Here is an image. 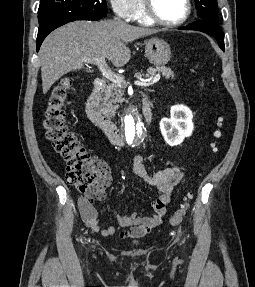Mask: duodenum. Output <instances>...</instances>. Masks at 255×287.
Wrapping results in <instances>:
<instances>
[{
	"mask_svg": "<svg viewBox=\"0 0 255 287\" xmlns=\"http://www.w3.org/2000/svg\"><path fill=\"white\" fill-rule=\"evenodd\" d=\"M105 89V81H96L93 91L86 100V113L89 119L102 130L112 144L121 145L123 144L124 140L120 134L119 128L110 119H108L100 109V99ZM142 106L145 121L150 122L152 117V109L148 97L143 98Z\"/></svg>",
	"mask_w": 255,
	"mask_h": 287,
	"instance_id": "410a0bca",
	"label": "duodenum"
}]
</instances>
